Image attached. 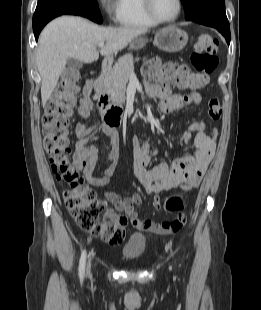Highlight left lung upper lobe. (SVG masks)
Returning a JSON list of instances; mask_svg holds the SVG:
<instances>
[{
  "mask_svg": "<svg viewBox=\"0 0 261 310\" xmlns=\"http://www.w3.org/2000/svg\"><path fill=\"white\" fill-rule=\"evenodd\" d=\"M186 20L197 23L203 21L228 22L225 0H181Z\"/></svg>",
  "mask_w": 261,
  "mask_h": 310,
  "instance_id": "left-lung-upper-lobe-1",
  "label": "left lung upper lobe"
}]
</instances>
